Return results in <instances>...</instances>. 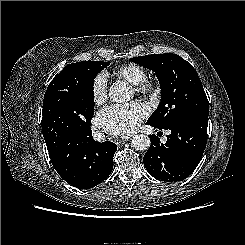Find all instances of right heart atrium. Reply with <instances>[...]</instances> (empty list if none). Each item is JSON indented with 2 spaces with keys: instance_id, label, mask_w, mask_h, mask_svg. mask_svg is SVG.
<instances>
[{
  "instance_id": "obj_1",
  "label": "right heart atrium",
  "mask_w": 245,
  "mask_h": 245,
  "mask_svg": "<svg viewBox=\"0 0 245 245\" xmlns=\"http://www.w3.org/2000/svg\"><path fill=\"white\" fill-rule=\"evenodd\" d=\"M94 103L100 105L108 98V79L105 73L97 74L91 85Z\"/></svg>"
}]
</instances>
